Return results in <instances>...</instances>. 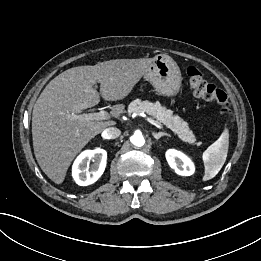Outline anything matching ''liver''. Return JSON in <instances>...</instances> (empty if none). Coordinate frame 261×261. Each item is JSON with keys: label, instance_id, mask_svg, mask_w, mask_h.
I'll return each mask as SVG.
<instances>
[{"label": "liver", "instance_id": "6515ba94", "mask_svg": "<svg viewBox=\"0 0 261 261\" xmlns=\"http://www.w3.org/2000/svg\"><path fill=\"white\" fill-rule=\"evenodd\" d=\"M153 58L115 59L94 66L70 68L56 76L40 94L32 114L36 160L42 171L61 184L75 156L114 121H79L70 117L100 102L122 100L149 70ZM100 83V94L93 86ZM125 106L112 107L118 118Z\"/></svg>", "mask_w": 261, "mask_h": 261}]
</instances>
